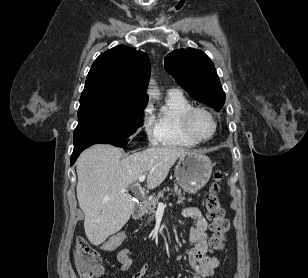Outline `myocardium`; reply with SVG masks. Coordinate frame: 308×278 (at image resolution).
Listing matches in <instances>:
<instances>
[{"label":"myocardium","instance_id":"1","mask_svg":"<svg viewBox=\"0 0 308 278\" xmlns=\"http://www.w3.org/2000/svg\"><path fill=\"white\" fill-rule=\"evenodd\" d=\"M198 111L206 113L213 121V125H214L213 131L208 137H205V138L198 137L197 135H195L190 127V119L192 115ZM179 121H180L181 129L184 132V134L189 139H191L192 141L196 143H202V142H207L211 140L215 136L217 129H218V122L213 112L202 106H191L187 108L181 113Z\"/></svg>","mask_w":308,"mask_h":278}]
</instances>
